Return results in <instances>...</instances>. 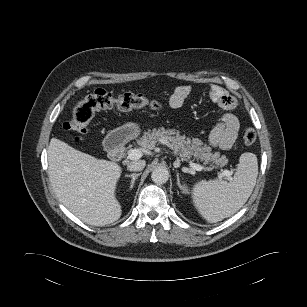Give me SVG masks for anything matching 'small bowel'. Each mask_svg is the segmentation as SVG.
<instances>
[{
  "label": "small bowel",
  "instance_id": "c3829d8e",
  "mask_svg": "<svg viewBox=\"0 0 307 307\" xmlns=\"http://www.w3.org/2000/svg\"><path fill=\"white\" fill-rule=\"evenodd\" d=\"M191 90L190 85L177 86L168 101L170 108H180L190 95ZM209 95L213 101L224 109H231L234 105L233 98L218 85H210ZM239 127L238 118L232 113H225L209 135L210 145L222 150L230 149L237 138Z\"/></svg>",
  "mask_w": 307,
  "mask_h": 307
}]
</instances>
